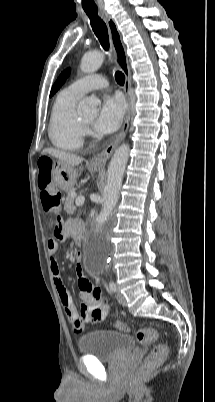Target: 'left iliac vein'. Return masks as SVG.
<instances>
[{"instance_id":"obj_1","label":"left iliac vein","mask_w":215,"mask_h":402,"mask_svg":"<svg viewBox=\"0 0 215 402\" xmlns=\"http://www.w3.org/2000/svg\"><path fill=\"white\" fill-rule=\"evenodd\" d=\"M116 298H117L119 304H121L122 306L127 305V301H126L125 296L122 293H120L119 291L116 294Z\"/></svg>"}]
</instances>
